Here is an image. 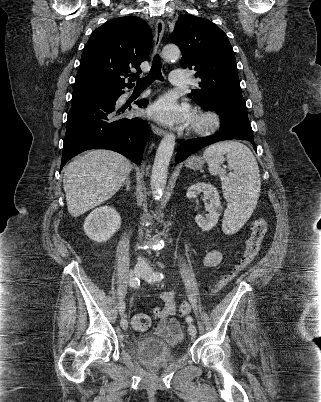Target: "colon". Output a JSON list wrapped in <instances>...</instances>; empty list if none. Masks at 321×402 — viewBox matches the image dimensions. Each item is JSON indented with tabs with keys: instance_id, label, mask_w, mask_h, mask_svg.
I'll return each instance as SVG.
<instances>
[{
	"instance_id": "obj_1",
	"label": "colon",
	"mask_w": 321,
	"mask_h": 402,
	"mask_svg": "<svg viewBox=\"0 0 321 402\" xmlns=\"http://www.w3.org/2000/svg\"><path fill=\"white\" fill-rule=\"evenodd\" d=\"M268 231L267 222L264 219H259L255 222L251 236L249 237L245 250L234 268L222 276L215 285L209 290V293L214 295L225 288L236 275L247 268L258 256L261 245ZM191 312V304L188 301H183L179 306V316L185 317ZM133 328L137 331H145L150 326V319L145 314H135L132 318Z\"/></svg>"
}]
</instances>
